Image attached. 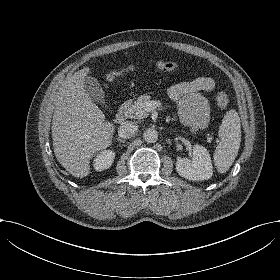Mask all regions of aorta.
<instances>
[{
	"instance_id": "aorta-1",
	"label": "aorta",
	"mask_w": 280,
	"mask_h": 280,
	"mask_svg": "<svg viewBox=\"0 0 280 280\" xmlns=\"http://www.w3.org/2000/svg\"><path fill=\"white\" fill-rule=\"evenodd\" d=\"M143 138L148 143H154L158 139V132L153 129H146L143 133Z\"/></svg>"
}]
</instances>
